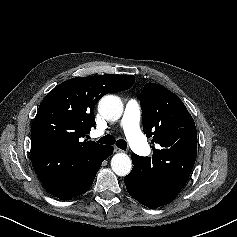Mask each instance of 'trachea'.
I'll return each instance as SVG.
<instances>
[{
  "mask_svg": "<svg viewBox=\"0 0 237 237\" xmlns=\"http://www.w3.org/2000/svg\"><path fill=\"white\" fill-rule=\"evenodd\" d=\"M101 144H107V145H113L116 144V146L122 150H126L127 148V142L124 139H118L115 140V138L111 135H106L98 140Z\"/></svg>",
  "mask_w": 237,
  "mask_h": 237,
  "instance_id": "obj_1",
  "label": "trachea"
}]
</instances>
